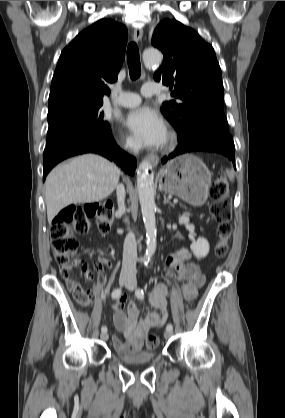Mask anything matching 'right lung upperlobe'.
Masks as SVG:
<instances>
[{"label": "right lung upper lobe", "instance_id": "1", "mask_svg": "<svg viewBox=\"0 0 285 418\" xmlns=\"http://www.w3.org/2000/svg\"><path fill=\"white\" fill-rule=\"evenodd\" d=\"M127 29L101 19L62 51L52 78L49 104L68 100L103 102L107 83L117 80L125 57Z\"/></svg>", "mask_w": 285, "mask_h": 418}]
</instances>
